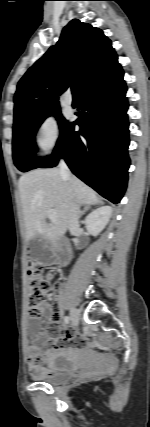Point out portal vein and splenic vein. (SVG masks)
Here are the masks:
<instances>
[{
	"mask_svg": "<svg viewBox=\"0 0 150 427\" xmlns=\"http://www.w3.org/2000/svg\"><path fill=\"white\" fill-rule=\"evenodd\" d=\"M47 216H48V218L50 219V221H51L52 223H55V222H56L57 215H56L55 210H49V211L47 212Z\"/></svg>",
	"mask_w": 150,
	"mask_h": 427,
	"instance_id": "obj_1",
	"label": "portal vein and splenic vein"
}]
</instances>
